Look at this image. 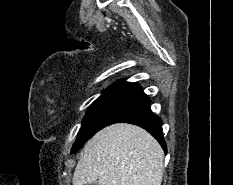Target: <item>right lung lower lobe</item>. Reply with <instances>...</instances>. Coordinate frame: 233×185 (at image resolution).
<instances>
[{
    "label": "right lung lower lobe",
    "instance_id": "obj_1",
    "mask_svg": "<svg viewBox=\"0 0 233 185\" xmlns=\"http://www.w3.org/2000/svg\"><path fill=\"white\" fill-rule=\"evenodd\" d=\"M150 103L148 96L143 93L142 88L138 87L130 91L101 121L98 131L114 123L125 122L135 124L151 133L166 153L167 148L162 133V121L151 111Z\"/></svg>",
    "mask_w": 233,
    "mask_h": 185
}]
</instances>
